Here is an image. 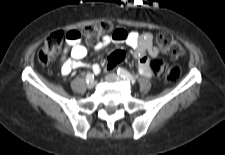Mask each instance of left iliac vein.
<instances>
[{
    "instance_id": "left-iliac-vein-1",
    "label": "left iliac vein",
    "mask_w": 225,
    "mask_h": 155,
    "mask_svg": "<svg viewBox=\"0 0 225 155\" xmlns=\"http://www.w3.org/2000/svg\"><path fill=\"white\" fill-rule=\"evenodd\" d=\"M106 78L109 80H116L119 78V76L114 73H110V74L106 75Z\"/></svg>"
}]
</instances>
